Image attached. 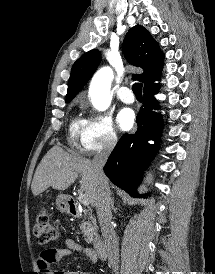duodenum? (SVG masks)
Segmentation results:
<instances>
[{"label":"duodenum","mask_w":215,"mask_h":274,"mask_svg":"<svg viewBox=\"0 0 215 274\" xmlns=\"http://www.w3.org/2000/svg\"><path fill=\"white\" fill-rule=\"evenodd\" d=\"M66 205L71 215L75 217L80 216V210L73 199H67ZM94 249L100 259H105L107 257V246L101 238L95 239Z\"/></svg>","instance_id":"duodenum-1"}]
</instances>
